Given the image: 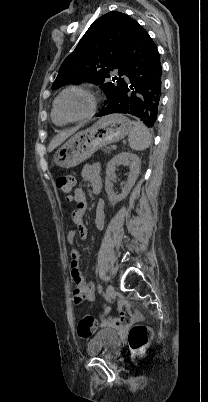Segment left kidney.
<instances>
[{"label": "left kidney", "instance_id": "1", "mask_svg": "<svg viewBox=\"0 0 208 402\" xmlns=\"http://www.w3.org/2000/svg\"><path fill=\"white\" fill-rule=\"evenodd\" d=\"M121 164H123V166H129L130 172L127 182L124 188H122V194H119V196H114L113 192L110 190L111 176L114 174L116 166H121ZM140 166V158H138L136 154H130V152H120V154H117V156H114V158L108 162L106 168L105 192L111 204H117V202H121V200L127 198L131 188H133L138 178Z\"/></svg>", "mask_w": 208, "mask_h": 402}]
</instances>
